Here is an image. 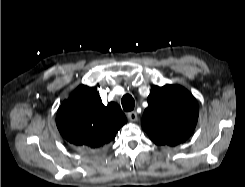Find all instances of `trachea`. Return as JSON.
Masks as SVG:
<instances>
[{
    "label": "trachea",
    "instance_id": "trachea-1",
    "mask_svg": "<svg viewBox=\"0 0 245 187\" xmlns=\"http://www.w3.org/2000/svg\"><path fill=\"white\" fill-rule=\"evenodd\" d=\"M122 107L125 111H131L134 109L135 101L130 94H125L121 100Z\"/></svg>",
    "mask_w": 245,
    "mask_h": 187
}]
</instances>
